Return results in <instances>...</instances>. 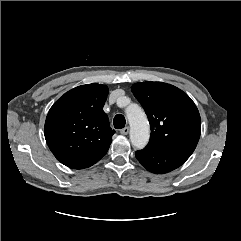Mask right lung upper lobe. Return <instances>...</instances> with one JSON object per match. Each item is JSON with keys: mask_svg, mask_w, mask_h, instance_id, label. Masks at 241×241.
<instances>
[{"mask_svg": "<svg viewBox=\"0 0 241 241\" xmlns=\"http://www.w3.org/2000/svg\"><path fill=\"white\" fill-rule=\"evenodd\" d=\"M107 95L105 85H81L65 93L49 110L45 139L62 164L81 169L107 153L115 133L103 111Z\"/></svg>", "mask_w": 241, "mask_h": 241, "instance_id": "right-lung-upper-lobe-1", "label": "right lung upper lobe"}]
</instances>
